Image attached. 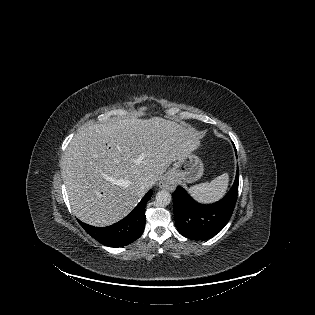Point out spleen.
Segmentation results:
<instances>
[{
  "instance_id": "3e777b00",
  "label": "spleen",
  "mask_w": 315,
  "mask_h": 315,
  "mask_svg": "<svg viewBox=\"0 0 315 315\" xmlns=\"http://www.w3.org/2000/svg\"><path fill=\"white\" fill-rule=\"evenodd\" d=\"M229 175L224 173L211 182L194 185L189 188L190 195L201 203H212L221 199L228 187Z\"/></svg>"
}]
</instances>
